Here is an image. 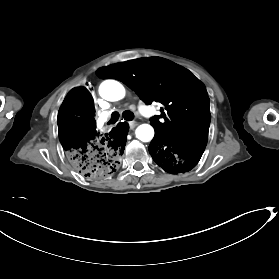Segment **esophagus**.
<instances>
[{"label":"esophagus","mask_w":279,"mask_h":279,"mask_svg":"<svg viewBox=\"0 0 279 279\" xmlns=\"http://www.w3.org/2000/svg\"><path fill=\"white\" fill-rule=\"evenodd\" d=\"M128 124H129L130 129H133L134 127L137 126V123L135 121H131Z\"/></svg>","instance_id":"34e87169"}]
</instances>
